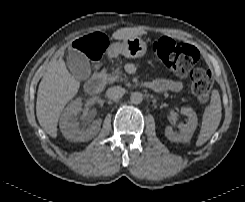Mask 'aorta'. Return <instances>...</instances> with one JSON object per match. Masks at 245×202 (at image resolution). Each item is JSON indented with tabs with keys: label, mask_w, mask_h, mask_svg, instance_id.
<instances>
[{
	"label": "aorta",
	"mask_w": 245,
	"mask_h": 202,
	"mask_svg": "<svg viewBox=\"0 0 245 202\" xmlns=\"http://www.w3.org/2000/svg\"><path fill=\"white\" fill-rule=\"evenodd\" d=\"M131 103L140 104L143 100V95L140 92H133L130 96Z\"/></svg>",
	"instance_id": "aorta-1"
}]
</instances>
